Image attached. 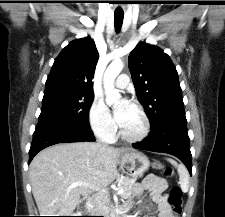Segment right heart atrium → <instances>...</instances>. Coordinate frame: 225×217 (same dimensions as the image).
Returning <instances> with one entry per match:
<instances>
[{
    "label": "right heart atrium",
    "mask_w": 225,
    "mask_h": 217,
    "mask_svg": "<svg viewBox=\"0 0 225 217\" xmlns=\"http://www.w3.org/2000/svg\"><path fill=\"white\" fill-rule=\"evenodd\" d=\"M89 124L93 132L101 138L110 139L115 133L112 116L102 100L95 98L89 108Z\"/></svg>",
    "instance_id": "d8ad5b80"
}]
</instances>
